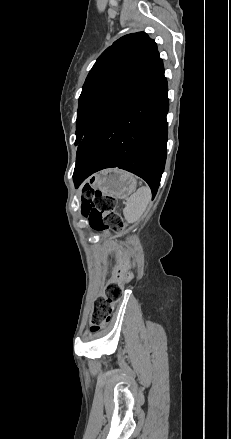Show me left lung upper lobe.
<instances>
[{
	"instance_id": "left-lung-upper-lobe-1",
	"label": "left lung upper lobe",
	"mask_w": 231,
	"mask_h": 439,
	"mask_svg": "<svg viewBox=\"0 0 231 439\" xmlns=\"http://www.w3.org/2000/svg\"><path fill=\"white\" fill-rule=\"evenodd\" d=\"M162 64L155 41L144 32L125 35L108 47L83 85L75 145H79L127 93Z\"/></svg>"
}]
</instances>
